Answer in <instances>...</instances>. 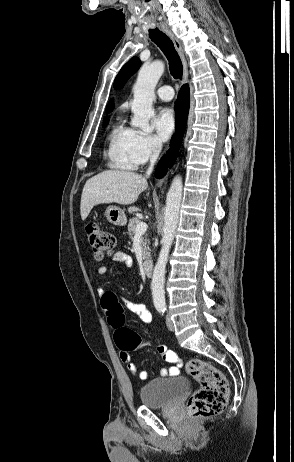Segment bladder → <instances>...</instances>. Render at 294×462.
Here are the masks:
<instances>
[{
	"instance_id": "obj_1",
	"label": "bladder",
	"mask_w": 294,
	"mask_h": 462,
	"mask_svg": "<svg viewBox=\"0 0 294 462\" xmlns=\"http://www.w3.org/2000/svg\"><path fill=\"white\" fill-rule=\"evenodd\" d=\"M188 389L187 379L181 376L155 379L141 386L139 397L141 403L148 408H165L178 401Z\"/></svg>"
}]
</instances>
